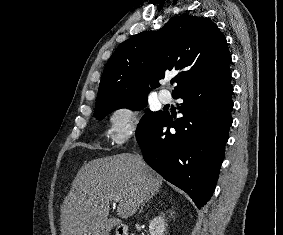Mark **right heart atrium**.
<instances>
[{
  "label": "right heart atrium",
  "instance_id": "1",
  "mask_svg": "<svg viewBox=\"0 0 283 235\" xmlns=\"http://www.w3.org/2000/svg\"><path fill=\"white\" fill-rule=\"evenodd\" d=\"M139 119V110L132 105L124 104L114 109L109 117L111 141L116 145H122L134 134Z\"/></svg>",
  "mask_w": 283,
  "mask_h": 235
}]
</instances>
